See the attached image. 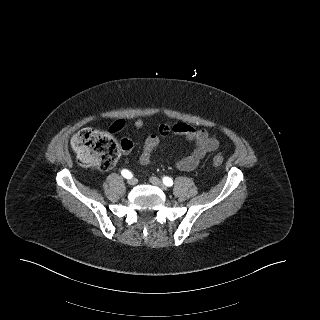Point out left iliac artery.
Instances as JSON below:
<instances>
[{
    "label": "left iliac artery",
    "mask_w": 320,
    "mask_h": 320,
    "mask_svg": "<svg viewBox=\"0 0 320 320\" xmlns=\"http://www.w3.org/2000/svg\"><path fill=\"white\" fill-rule=\"evenodd\" d=\"M162 180H163V183L168 187L173 185V180L170 177L165 176V177H163Z\"/></svg>",
    "instance_id": "1"
}]
</instances>
